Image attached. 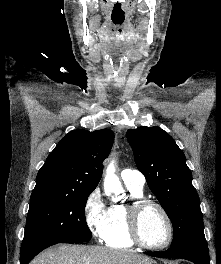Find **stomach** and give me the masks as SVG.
<instances>
[{
  "label": "stomach",
  "instance_id": "0dacf381",
  "mask_svg": "<svg viewBox=\"0 0 221 264\" xmlns=\"http://www.w3.org/2000/svg\"><path fill=\"white\" fill-rule=\"evenodd\" d=\"M150 264H155L154 262H151Z\"/></svg>",
  "mask_w": 221,
  "mask_h": 264
}]
</instances>
